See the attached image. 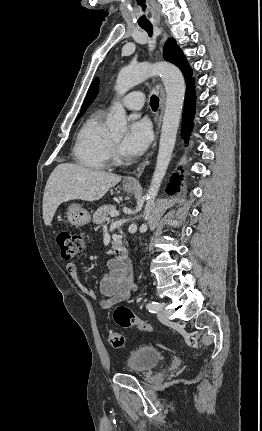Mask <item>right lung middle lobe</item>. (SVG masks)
Wrapping results in <instances>:
<instances>
[{
	"label": "right lung middle lobe",
	"instance_id": "right-lung-middle-lobe-1",
	"mask_svg": "<svg viewBox=\"0 0 262 431\" xmlns=\"http://www.w3.org/2000/svg\"><path fill=\"white\" fill-rule=\"evenodd\" d=\"M81 116H82V115H78V117H77V119H76V120H78Z\"/></svg>",
	"mask_w": 262,
	"mask_h": 431
}]
</instances>
